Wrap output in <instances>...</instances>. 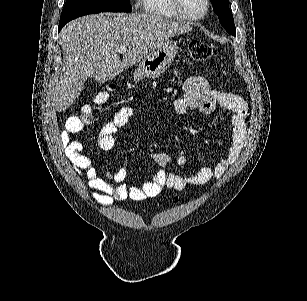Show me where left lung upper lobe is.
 Segmentation results:
<instances>
[{
  "mask_svg": "<svg viewBox=\"0 0 307 301\" xmlns=\"http://www.w3.org/2000/svg\"><path fill=\"white\" fill-rule=\"evenodd\" d=\"M213 5L214 12L218 15L220 23L226 31L233 36H236V29L233 20V15L229 9L228 0H210Z\"/></svg>",
  "mask_w": 307,
  "mask_h": 301,
  "instance_id": "1",
  "label": "left lung upper lobe"
}]
</instances>
